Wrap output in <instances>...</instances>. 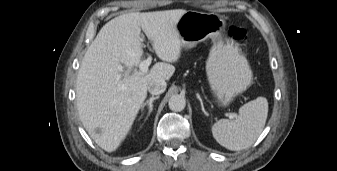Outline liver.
I'll use <instances>...</instances> for the list:
<instances>
[{
    "mask_svg": "<svg viewBox=\"0 0 337 171\" xmlns=\"http://www.w3.org/2000/svg\"><path fill=\"white\" fill-rule=\"evenodd\" d=\"M186 12L174 9L120 15L101 28L87 49L77 76V108L83 126L105 151H115L125 139L147 97L149 83L169 80L174 74L171 63L178 61L182 48L176 24ZM141 29L164 61L146 74L131 72L143 55Z\"/></svg>",
    "mask_w": 337,
    "mask_h": 171,
    "instance_id": "liver-1",
    "label": "liver"
}]
</instances>
